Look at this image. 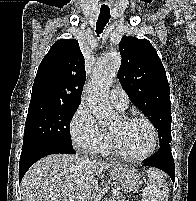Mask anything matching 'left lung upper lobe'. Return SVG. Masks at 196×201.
I'll use <instances>...</instances> for the list:
<instances>
[{
    "instance_id": "left-lung-upper-lobe-1",
    "label": "left lung upper lobe",
    "mask_w": 196,
    "mask_h": 201,
    "mask_svg": "<svg viewBox=\"0 0 196 201\" xmlns=\"http://www.w3.org/2000/svg\"><path fill=\"white\" fill-rule=\"evenodd\" d=\"M118 78L130 100L150 119L160 145L171 142L170 88L164 66L146 39L123 36Z\"/></svg>"
}]
</instances>
